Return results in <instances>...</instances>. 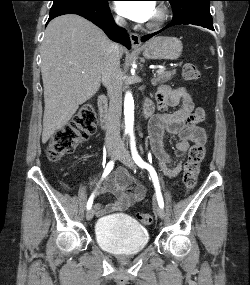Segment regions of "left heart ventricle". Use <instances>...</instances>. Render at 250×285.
<instances>
[{"label":"left heart ventricle","instance_id":"obj_1","mask_svg":"<svg viewBox=\"0 0 250 285\" xmlns=\"http://www.w3.org/2000/svg\"><path fill=\"white\" fill-rule=\"evenodd\" d=\"M155 15H156V9L154 10V13H153L151 20L155 17Z\"/></svg>","mask_w":250,"mask_h":285}]
</instances>
